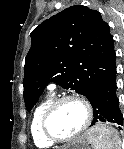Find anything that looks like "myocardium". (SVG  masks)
I'll return each instance as SVG.
<instances>
[{
    "label": "myocardium",
    "mask_w": 124,
    "mask_h": 149,
    "mask_svg": "<svg viewBox=\"0 0 124 149\" xmlns=\"http://www.w3.org/2000/svg\"><path fill=\"white\" fill-rule=\"evenodd\" d=\"M68 101L78 102L84 107L85 121H84L82 127L73 135L64 137V138H59V137L55 136L50 131L49 121H50L52 114L57 109V107L65 102H68ZM92 120H93V108L88 100H86L85 98L78 96V95H66V96H62V97L55 99L49 105V107L46 109V111L43 115V119H42V132H43L44 136L48 140L52 141L53 143H66V142H69V141H72V140L78 138L83 133H85L88 130V128L90 127Z\"/></svg>",
    "instance_id": "f54148a6"
}]
</instances>
